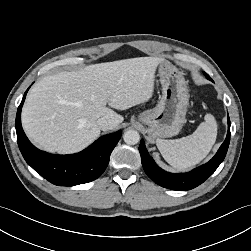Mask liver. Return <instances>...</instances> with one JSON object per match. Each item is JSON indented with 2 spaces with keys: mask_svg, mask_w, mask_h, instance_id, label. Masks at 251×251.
Listing matches in <instances>:
<instances>
[{
  "mask_svg": "<svg viewBox=\"0 0 251 251\" xmlns=\"http://www.w3.org/2000/svg\"><path fill=\"white\" fill-rule=\"evenodd\" d=\"M162 61L137 57L42 78L29 91L22 109L25 133L48 152L82 150L99 137V118L111 120L115 127L124 120L109 107L126 110L152 97L155 71Z\"/></svg>",
  "mask_w": 251,
  "mask_h": 251,
  "instance_id": "1",
  "label": "liver"
}]
</instances>
